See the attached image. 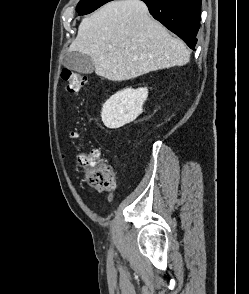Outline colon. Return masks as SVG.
<instances>
[{
	"label": "colon",
	"instance_id": "5ec220e1",
	"mask_svg": "<svg viewBox=\"0 0 249 294\" xmlns=\"http://www.w3.org/2000/svg\"><path fill=\"white\" fill-rule=\"evenodd\" d=\"M62 78L67 83V89L72 94L79 93L87 84V77L70 69H63ZM74 140H80L77 132L70 134ZM78 163L84 170L85 182L98 191H112L116 186L113 167L104 162L97 150L78 155Z\"/></svg>",
	"mask_w": 249,
	"mask_h": 294
}]
</instances>
